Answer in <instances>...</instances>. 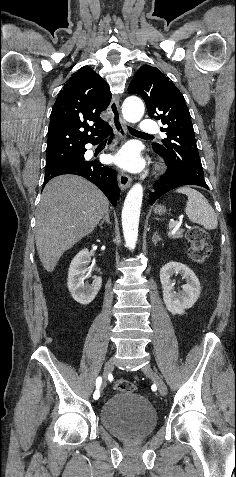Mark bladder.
<instances>
[{
    "label": "bladder",
    "mask_w": 236,
    "mask_h": 477,
    "mask_svg": "<svg viewBox=\"0 0 236 477\" xmlns=\"http://www.w3.org/2000/svg\"><path fill=\"white\" fill-rule=\"evenodd\" d=\"M99 413L110 434L130 441L147 438L158 422L152 404L135 392L118 391L101 404Z\"/></svg>",
    "instance_id": "31cf9c89"
}]
</instances>
